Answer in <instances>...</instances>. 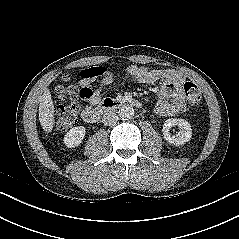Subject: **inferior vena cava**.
Returning <instances> with one entry per match:
<instances>
[{"mask_svg":"<svg viewBox=\"0 0 239 239\" xmlns=\"http://www.w3.org/2000/svg\"><path fill=\"white\" fill-rule=\"evenodd\" d=\"M117 121L118 115L114 112H107L102 118V123L107 126L114 125Z\"/></svg>","mask_w":239,"mask_h":239,"instance_id":"1","label":"inferior vena cava"}]
</instances>
